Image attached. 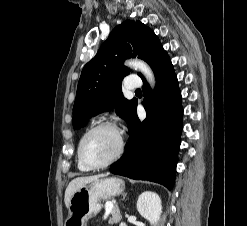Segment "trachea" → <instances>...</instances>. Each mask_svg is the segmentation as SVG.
Returning a JSON list of instances; mask_svg holds the SVG:
<instances>
[{
	"mask_svg": "<svg viewBox=\"0 0 247 226\" xmlns=\"http://www.w3.org/2000/svg\"><path fill=\"white\" fill-rule=\"evenodd\" d=\"M136 92H141V90L140 89H137Z\"/></svg>",
	"mask_w": 247,
	"mask_h": 226,
	"instance_id": "obj_1",
	"label": "trachea"
}]
</instances>
